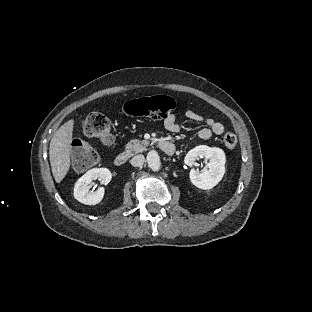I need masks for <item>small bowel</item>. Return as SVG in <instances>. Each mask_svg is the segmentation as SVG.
<instances>
[{"instance_id":"obj_1","label":"small bowel","mask_w":312,"mask_h":312,"mask_svg":"<svg viewBox=\"0 0 312 312\" xmlns=\"http://www.w3.org/2000/svg\"><path fill=\"white\" fill-rule=\"evenodd\" d=\"M185 117L192 122H204L206 124L207 127L199 131V137L203 140H208L212 135H221L224 132V125L221 122L213 118L204 117L196 111L187 110ZM163 126L170 133H178L181 130V123L173 113L164 118Z\"/></svg>"}]
</instances>
